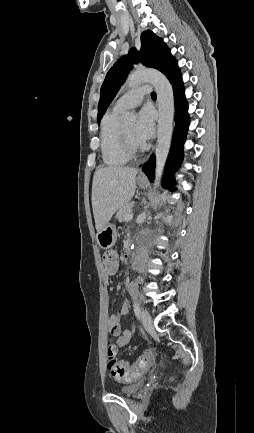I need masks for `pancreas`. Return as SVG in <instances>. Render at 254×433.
Returning a JSON list of instances; mask_svg holds the SVG:
<instances>
[{
	"label": "pancreas",
	"instance_id": "cf45deb5",
	"mask_svg": "<svg viewBox=\"0 0 254 433\" xmlns=\"http://www.w3.org/2000/svg\"><path fill=\"white\" fill-rule=\"evenodd\" d=\"M133 206H134V203H128L119 209V211L117 212V215H116L119 222L126 221V217L129 214H132Z\"/></svg>",
	"mask_w": 254,
	"mask_h": 433
}]
</instances>
